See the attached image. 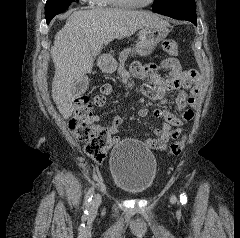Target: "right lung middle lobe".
<instances>
[{"label": "right lung middle lobe", "mask_w": 240, "mask_h": 238, "mask_svg": "<svg viewBox=\"0 0 240 238\" xmlns=\"http://www.w3.org/2000/svg\"><path fill=\"white\" fill-rule=\"evenodd\" d=\"M71 2H75V0H47L45 5V17L47 24H49L55 15L67 9Z\"/></svg>", "instance_id": "right-lung-middle-lobe-1"}]
</instances>
